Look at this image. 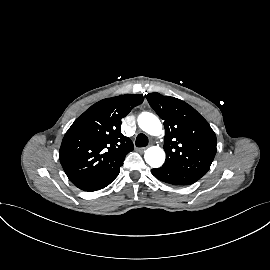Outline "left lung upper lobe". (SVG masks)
I'll list each match as a JSON object with an SVG mask.
<instances>
[{
  "mask_svg": "<svg viewBox=\"0 0 270 270\" xmlns=\"http://www.w3.org/2000/svg\"><path fill=\"white\" fill-rule=\"evenodd\" d=\"M150 106L164 120L163 166L180 169L200 179L216 154V136L208 122L186 102L159 93L146 95Z\"/></svg>",
  "mask_w": 270,
  "mask_h": 270,
  "instance_id": "1",
  "label": "left lung upper lobe"
}]
</instances>
